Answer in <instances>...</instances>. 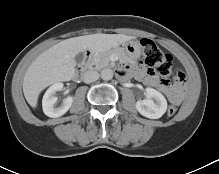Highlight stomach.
<instances>
[{
  "label": "stomach",
  "mask_w": 219,
  "mask_h": 174,
  "mask_svg": "<svg viewBox=\"0 0 219 174\" xmlns=\"http://www.w3.org/2000/svg\"><path fill=\"white\" fill-rule=\"evenodd\" d=\"M118 50L124 52L130 59H138L141 56V45L138 41H128L122 45Z\"/></svg>",
  "instance_id": "0dacf381"
}]
</instances>
